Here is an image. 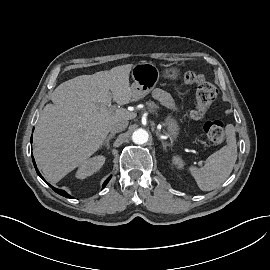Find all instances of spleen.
Segmentation results:
<instances>
[{"label":"spleen","instance_id":"obj_1","mask_svg":"<svg viewBox=\"0 0 270 270\" xmlns=\"http://www.w3.org/2000/svg\"><path fill=\"white\" fill-rule=\"evenodd\" d=\"M226 136L227 145L210 155L203 167H189V171L202 191H211L217 188L232 172L237 160V145L233 125H227Z\"/></svg>","mask_w":270,"mask_h":270}]
</instances>
